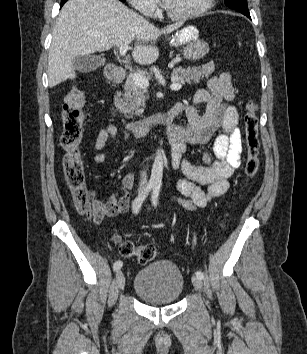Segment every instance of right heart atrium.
<instances>
[{
  "label": "right heart atrium",
  "instance_id": "obj_1",
  "mask_svg": "<svg viewBox=\"0 0 307 354\" xmlns=\"http://www.w3.org/2000/svg\"><path fill=\"white\" fill-rule=\"evenodd\" d=\"M139 12L145 15H154L158 10L157 0H128Z\"/></svg>",
  "mask_w": 307,
  "mask_h": 354
}]
</instances>
